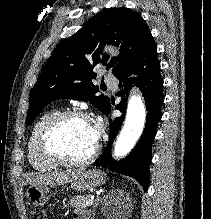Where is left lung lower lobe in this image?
Wrapping results in <instances>:
<instances>
[{
    "label": "left lung lower lobe",
    "instance_id": "0a47b994",
    "mask_svg": "<svg viewBox=\"0 0 211 219\" xmlns=\"http://www.w3.org/2000/svg\"><path fill=\"white\" fill-rule=\"evenodd\" d=\"M116 77L119 79L117 95L121 96L116 106L122 113L126 107V97L132 84L140 87L145 98L147 118L144 133L133 151L124 159L115 161L110 155L114 137L120 129L124 116L110 120V137L108 145L94 166H103L111 171L131 176L138 180L146 191L149 184V164L151 161V145L156 135L157 123L161 118L160 108L164 101L162 92L163 79L160 74V63L157 58V48L150 35L132 61L124 67ZM111 110V104L106 115Z\"/></svg>",
    "mask_w": 211,
    "mask_h": 219
}]
</instances>
